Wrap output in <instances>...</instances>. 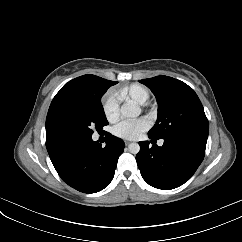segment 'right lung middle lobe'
Returning a JSON list of instances; mask_svg holds the SVG:
<instances>
[{
	"label": "right lung middle lobe",
	"instance_id": "1",
	"mask_svg": "<svg viewBox=\"0 0 242 242\" xmlns=\"http://www.w3.org/2000/svg\"><path fill=\"white\" fill-rule=\"evenodd\" d=\"M107 89L91 95H56L46 118V136L53 137L72 132L92 135L94 129L101 130L108 124L101 104V97Z\"/></svg>",
	"mask_w": 242,
	"mask_h": 242
}]
</instances>
